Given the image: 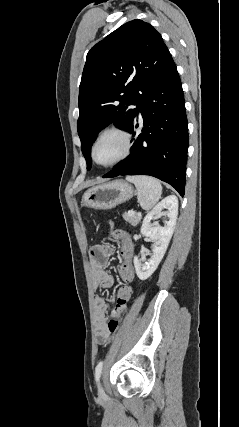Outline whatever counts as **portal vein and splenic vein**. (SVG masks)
<instances>
[{
    "mask_svg": "<svg viewBox=\"0 0 239 427\" xmlns=\"http://www.w3.org/2000/svg\"><path fill=\"white\" fill-rule=\"evenodd\" d=\"M128 215H129V216H134V215H135V212H134L133 210H130V211L128 212Z\"/></svg>",
    "mask_w": 239,
    "mask_h": 427,
    "instance_id": "1",
    "label": "portal vein and splenic vein"
}]
</instances>
